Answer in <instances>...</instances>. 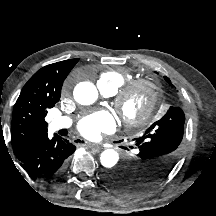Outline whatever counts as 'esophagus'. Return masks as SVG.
<instances>
[{"label":"esophagus","mask_w":216,"mask_h":216,"mask_svg":"<svg viewBox=\"0 0 216 216\" xmlns=\"http://www.w3.org/2000/svg\"><path fill=\"white\" fill-rule=\"evenodd\" d=\"M83 146H88V147H94V148H97V149H101L102 147L97 145V144H94V143H91L89 141H86V140H83V142L81 143Z\"/></svg>","instance_id":"esophagus-1"}]
</instances>
